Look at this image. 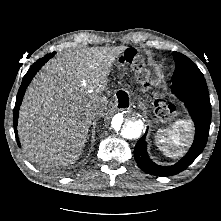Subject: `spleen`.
I'll list each match as a JSON object with an SVG mask.
<instances>
[{"mask_svg": "<svg viewBox=\"0 0 221 221\" xmlns=\"http://www.w3.org/2000/svg\"><path fill=\"white\" fill-rule=\"evenodd\" d=\"M192 124L189 120H177L168 130H161L156 138L158 148L168 157L182 154V148L188 146L192 137Z\"/></svg>", "mask_w": 221, "mask_h": 221, "instance_id": "obj_1", "label": "spleen"}]
</instances>
